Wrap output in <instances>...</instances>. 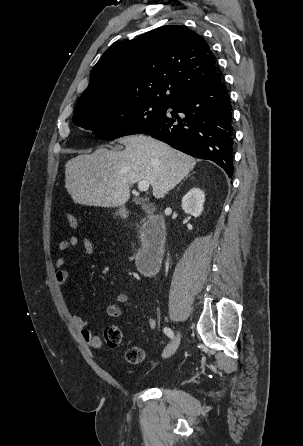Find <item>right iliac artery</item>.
Here are the masks:
<instances>
[{"instance_id":"1","label":"right iliac artery","mask_w":303,"mask_h":446,"mask_svg":"<svg viewBox=\"0 0 303 446\" xmlns=\"http://www.w3.org/2000/svg\"><path fill=\"white\" fill-rule=\"evenodd\" d=\"M164 333L169 337V338H173L174 337V333L170 328L165 327L163 329Z\"/></svg>"}]
</instances>
